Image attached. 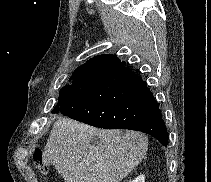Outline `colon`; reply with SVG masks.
<instances>
[{"label":"colon","mask_w":211,"mask_h":182,"mask_svg":"<svg viewBox=\"0 0 211 182\" xmlns=\"http://www.w3.org/2000/svg\"><path fill=\"white\" fill-rule=\"evenodd\" d=\"M32 158H33V161H34L37 169L41 172V174L44 177H48L49 170L44 161V156H43L42 150L39 148L35 149L32 153Z\"/></svg>","instance_id":"colon-1"}]
</instances>
